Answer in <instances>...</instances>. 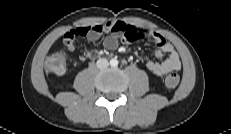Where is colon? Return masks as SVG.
Wrapping results in <instances>:
<instances>
[{"label":"colon","instance_id":"1","mask_svg":"<svg viewBox=\"0 0 231 134\" xmlns=\"http://www.w3.org/2000/svg\"><path fill=\"white\" fill-rule=\"evenodd\" d=\"M66 59L62 52L50 55L46 60V70L54 74H62L65 70ZM180 77L176 73H170L165 77V86L173 89L179 84Z\"/></svg>","mask_w":231,"mask_h":134}]
</instances>
